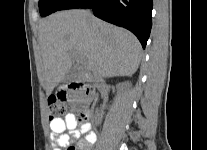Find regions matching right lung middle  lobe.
Masks as SVG:
<instances>
[{
    "label": "right lung middle lobe",
    "instance_id": "1",
    "mask_svg": "<svg viewBox=\"0 0 207 150\" xmlns=\"http://www.w3.org/2000/svg\"><path fill=\"white\" fill-rule=\"evenodd\" d=\"M66 0H39V11L42 17L47 16L57 10Z\"/></svg>",
    "mask_w": 207,
    "mask_h": 150
}]
</instances>
